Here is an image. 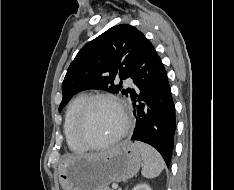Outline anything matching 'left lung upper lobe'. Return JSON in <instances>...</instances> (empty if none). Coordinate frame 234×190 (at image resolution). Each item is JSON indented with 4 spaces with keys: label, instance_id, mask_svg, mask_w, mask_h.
Returning <instances> with one entry per match:
<instances>
[{
    "label": "left lung upper lobe",
    "instance_id": "5c2ea615",
    "mask_svg": "<svg viewBox=\"0 0 234 190\" xmlns=\"http://www.w3.org/2000/svg\"><path fill=\"white\" fill-rule=\"evenodd\" d=\"M144 34L128 24L111 27L87 43L70 64L62 84V102L59 111L72 96L85 89H104L108 92L130 94L118 78L133 79L141 41Z\"/></svg>",
    "mask_w": 234,
    "mask_h": 190
}]
</instances>
